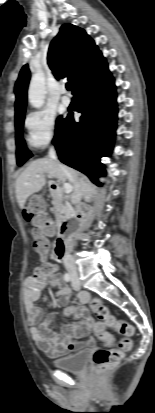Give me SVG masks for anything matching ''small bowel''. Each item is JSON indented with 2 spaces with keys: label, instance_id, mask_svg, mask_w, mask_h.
I'll return each mask as SVG.
<instances>
[{
  "label": "small bowel",
  "instance_id": "c3829d8e",
  "mask_svg": "<svg viewBox=\"0 0 155 413\" xmlns=\"http://www.w3.org/2000/svg\"><path fill=\"white\" fill-rule=\"evenodd\" d=\"M51 267V272L46 273L43 270V266H38L35 268L33 275L25 280V308L34 343L43 353L51 358L68 355L91 347L93 345L91 339L81 340L91 330L95 332L102 342L111 344L113 337L106 331L105 324L103 322H95L87 313V308L84 304L90 301L89 293L83 291L78 294V300L82 305H68L71 290L61 277L56 274L57 267L55 265H51ZM49 278L52 284L59 289L57 296H59L60 305L64 306L63 316L65 318L75 317V321L66 324L60 332H55L50 328L54 317L52 315L44 316L41 308L36 305Z\"/></svg>",
  "mask_w": 155,
  "mask_h": 413
}]
</instances>
